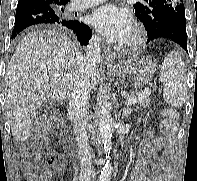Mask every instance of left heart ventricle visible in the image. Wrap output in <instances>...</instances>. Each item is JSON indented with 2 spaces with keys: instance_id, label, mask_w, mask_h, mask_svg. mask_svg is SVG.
<instances>
[{
  "instance_id": "1",
  "label": "left heart ventricle",
  "mask_w": 197,
  "mask_h": 181,
  "mask_svg": "<svg viewBox=\"0 0 197 181\" xmlns=\"http://www.w3.org/2000/svg\"><path fill=\"white\" fill-rule=\"evenodd\" d=\"M130 35H131V33L127 36V38H126V39H128V38L130 37Z\"/></svg>"
}]
</instances>
